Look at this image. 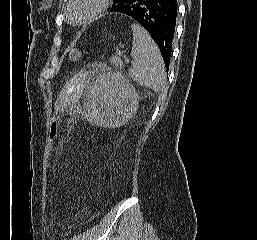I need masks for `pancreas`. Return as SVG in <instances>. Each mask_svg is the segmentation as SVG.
Listing matches in <instances>:
<instances>
[{
  "label": "pancreas",
  "mask_w": 257,
  "mask_h": 240,
  "mask_svg": "<svg viewBox=\"0 0 257 240\" xmlns=\"http://www.w3.org/2000/svg\"><path fill=\"white\" fill-rule=\"evenodd\" d=\"M111 65H115L116 67H123V63L118 55L112 56L109 59Z\"/></svg>",
  "instance_id": "obj_1"
}]
</instances>
